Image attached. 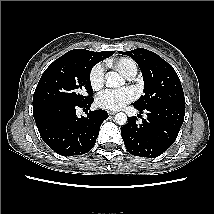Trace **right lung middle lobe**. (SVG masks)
Segmentation results:
<instances>
[{"label":"right lung middle lobe","mask_w":214,"mask_h":214,"mask_svg":"<svg viewBox=\"0 0 214 214\" xmlns=\"http://www.w3.org/2000/svg\"><path fill=\"white\" fill-rule=\"evenodd\" d=\"M97 63L95 58L86 53L67 52L56 59L39 80L33 96V108L50 102L90 100L93 94L90 72Z\"/></svg>","instance_id":"obj_1"}]
</instances>
